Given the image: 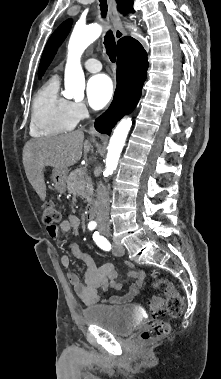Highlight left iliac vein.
<instances>
[{"label": "left iliac vein", "instance_id": "4c4485c4", "mask_svg": "<svg viewBox=\"0 0 221 379\" xmlns=\"http://www.w3.org/2000/svg\"><path fill=\"white\" fill-rule=\"evenodd\" d=\"M112 252L116 256H122L125 253V249L120 242L115 241L112 245Z\"/></svg>", "mask_w": 221, "mask_h": 379}]
</instances>
